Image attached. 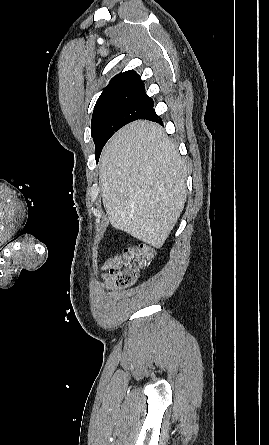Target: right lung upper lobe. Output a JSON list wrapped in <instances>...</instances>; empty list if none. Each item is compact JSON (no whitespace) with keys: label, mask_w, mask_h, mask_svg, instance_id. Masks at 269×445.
Masks as SVG:
<instances>
[{"label":"right lung upper lobe","mask_w":269,"mask_h":445,"mask_svg":"<svg viewBox=\"0 0 269 445\" xmlns=\"http://www.w3.org/2000/svg\"><path fill=\"white\" fill-rule=\"evenodd\" d=\"M137 88H144V83L141 80V77L135 71L129 70L116 75L103 90L100 97L118 90Z\"/></svg>","instance_id":"1"}]
</instances>
